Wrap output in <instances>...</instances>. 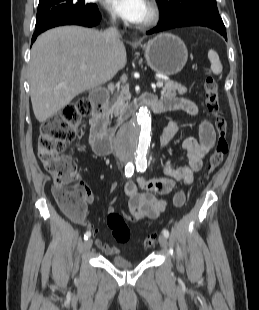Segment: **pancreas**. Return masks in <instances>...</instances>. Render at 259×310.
Returning a JSON list of instances; mask_svg holds the SVG:
<instances>
[{
	"mask_svg": "<svg viewBox=\"0 0 259 310\" xmlns=\"http://www.w3.org/2000/svg\"><path fill=\"white\" fill-rule=\"evenodd\" d=\"M187 89L183 85L173 82L165 81V86L161 91V95L164 97H176L177 94L186 93ZM131 95L126 88H122L120 95L117 97L116 101L112 104L110 108L111 115L119 116L121 118H126L128 116L127 108L129 105Z\"/></svg>",
	"mask_w": 259,
	"mask_h": 310,
	"instance_id": "pancreas-1",
	"label": "pancreas"
}]
</instances>
